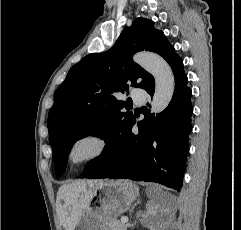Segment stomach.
Here are the masks:
<instances>
[{
    "label": "stomach",
    "instance_id": "1",
    "mask_svg": "<svg viewBox=\"0 0 241 230\" xmlns=\"http://www.w3.org/2000/svg\"><path fill=\"white\" fill-rule=\"evenodd\" d=\"M137 195L138 188L127 180L95 183L93 197L76 230H110V224L130 208Z\"/></svg>",
    "mask_w": 241,
    "mask_h": 230
}]
</instances>
